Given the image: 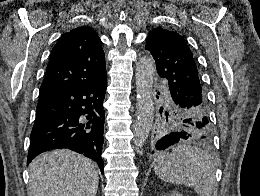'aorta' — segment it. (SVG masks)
I'll list each match as a JSON object with an SVG mask.
<instances>
[{
	"mask_svg": "<svg viewBox=\"0 0 260 196\" xmlns=\"http://www.w3.org/2000/svg\"><path fill=\"white\" fill-rule=\"evenodd\" d=\"M154 70V60L152 57H141L136 64V120L133 127L134 142L138 146L144 144L153 124Z\"/></svg>",
	"mask_w": 260,
	"mask_h": 196,
	"instance_id": "obj_1",
	"label": "aorta"
}]
</instances>
